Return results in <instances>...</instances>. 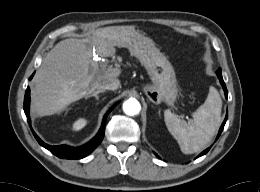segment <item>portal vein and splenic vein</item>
<instances>
[{
  "label": "portal vein and splenic vein",
  "mask_w": 260,
  "mask_h": 192,
  "mask_svg": "<svg viewBox=\"0 0 260 192\" xmlns=\"http://www.w3.org/2000/svg\"><path fill=\"white\" fill-rule=\"evenodd\" d=\"M111 74L114 75V76H117V75L120 74V70H119V69H113V70L111 71Z\"/></svg>",
  "instance_id": "1"
}]
</instances>
